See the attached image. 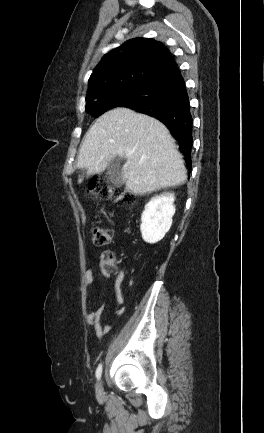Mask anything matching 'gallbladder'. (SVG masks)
<instances>
[{
	"mask_svg": "<svg viewBox=\"0 0 264 433\" xmlns=\"http://www.w3.org/2000/svg\"><path fill=\"white\" fill-rule=\"evenodd\" d=\"M106 178L117 187L122 185L123 181L120 173V165L118 159L113 158L108 163L106 168Z\"/></svg>",
	"mask_w": 264,
	"mask_h": 433,
	"instance_id": "obj_1",
	"label": "gallbladder"
}]
</instances>
